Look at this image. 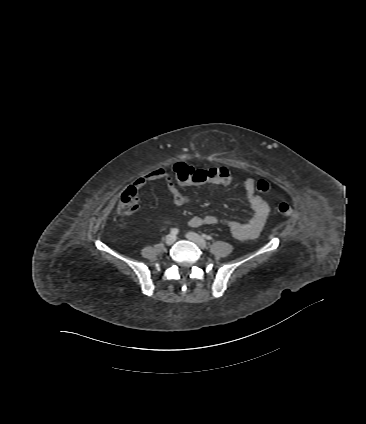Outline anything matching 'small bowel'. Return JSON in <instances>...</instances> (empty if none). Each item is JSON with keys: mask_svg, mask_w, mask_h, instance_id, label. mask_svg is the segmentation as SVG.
I'll list each match as a JSON object with an SVG mask.
<instances>
[{"mask_svg": "<svg viewBox=\"0 0 366 424\" xmlns=\"http://www.w3.org/2000/svg\"><path fill=\"white\" fill-rule=\"evenodd\" d=\"M218 176L211 182L212 184H227L220 180L221 170L230 171L227 167H218ZM230 177L232 173L230 171ZM163 179L167 184L172 201L177 206H183L189 203V198L183 194L174 184L170 174L164 169H156L141 177L134 182L135 188L143 187L147 182ZM245 198L250 208L252 216L247 222H239L232 220H220L214 215L195 216L189 221V226L198 228L204 225L224 224L231 234L238 240L245 241L256 238L263 229L269 215V205L265 199L256 193V181L254 178H246L244 181ZM164 224L170 225L172 222L164 220Z\"/></svg>", "mask_w": 366, "mask_h": 424, "instance_id": "1", "label": "small bowel"}]
</instances>
